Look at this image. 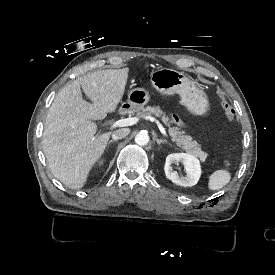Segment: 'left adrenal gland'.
<instances>
[{"mask_svg": "<svg viewBox=\"0 0 275 275\" xmlns=\"http://www.w3.org/2000/svg\"><path fill=\"white\" fill-rule=\"evenodd\" d=\"M155 137H156V142H157V144H161V143H166V142H167L166 139H164V140L158 139L156 135H155Z\"/></svg>", "mask_w": 275, "mask_h": 275, "instance_id": "left-adrenal-gland-1", "label": "left adrenal gland"}]
</instances>
